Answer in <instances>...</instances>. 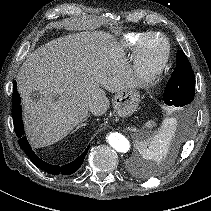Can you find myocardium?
<instances>
[{
	"label": "myocardium",
	"mask_w": 211,
	"mask_h": 211,
	"mask_svg": "<svg viewBox=\"0 0 211 211\" xmlns=\"http://www.w3.org/2000/svg\"><path fill=\"white\" fill-rule=\"evenodd\" d=\"M152 37H160L164 41V52L161 59L154 65H148L144 57V47ZM171 53V45L167 36L161 32H149L144 35L135 48L134 78L137 85L147 87L152 85L165 70Z\"/></svg>",
	"instance_id": "myocardium-1"
}]
</instances>
